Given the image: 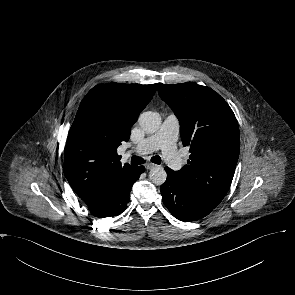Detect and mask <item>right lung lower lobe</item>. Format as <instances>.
<instances>
[{"instance_id":"obj_1","label":"right lung lower lobe","mask_w":295,"mask_h":295,"mask_svg":"<svg viewBox=\"0 0 295 295\" xmlns=\"http://www.w3.org/2000/svg\"><path fill=\"white\" fill-rule=\"evenodd\" d=\"M144 171V166L130 167L98 184L90 197L84 201L91 214L97 218H104L123 212L130 201L129 195L133 184Z\"/></svg>"}]
</instances>
